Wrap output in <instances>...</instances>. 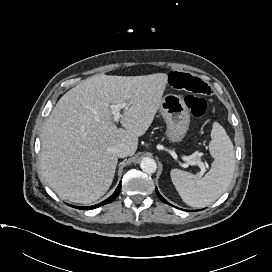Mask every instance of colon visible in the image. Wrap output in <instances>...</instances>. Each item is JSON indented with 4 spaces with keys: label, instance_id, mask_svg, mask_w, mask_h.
Here are the masks:
<instances>
[{
    "label": "colon",
    "instance_id": "obj_1",
    "mask_svg": "<svg viewBox=\"0 0 272 272\" xmlns=\"http://www.w3.org/2000/svg\"><path fill=\"white\" fill-rule=\"evenodd\" d=\"M184 101L191 114L196 118L203 117L209 110V103L202 96L188 94L185 96Z\"/></svg>",
    "mask_w": 272,
    "mask_h": 272
}]
</instances>
